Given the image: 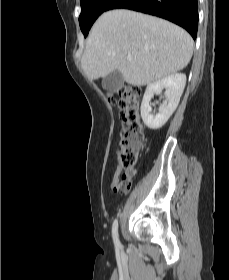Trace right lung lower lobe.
<instances>
[{
	"label": "right lung lower lobe",
	"mask_w": 229,
	"mask_h": 280,
	"mask_svg": "<svg viewBox=\"0 0 229 280\" xmlns=\"http://www.w3.org/2000/svg\"><path fill=\"white\" fill-rule=\"evenodd\" d=\"M117 8L130 9L167 19L186 29L194 39L197 36V0H113L107 10Z\"/></svg>",
	"instance_id": "1"
}]
</instances>
